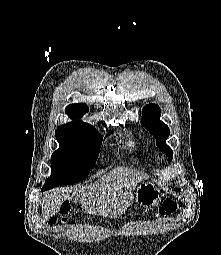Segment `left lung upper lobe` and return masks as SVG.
Masks as SVG:
<instances>
[{"mask_svg":"<svg viewBox=\"0 0 221 255\" xmlns=\"http://www.w3.org/2000/svg\"><path fill=\"white\" fill-rule=\"evenodd\" d=\"M161 110L158 105L149 104L143 108L141 124L156 138V145L172 161L173 152L166 144L169 136V128L160 121Z\"/></svg>","mask_w":221,"mask_h":255,"instance_id":"5c2ea615","label":"left lung upper lobe"}]
</instances>
